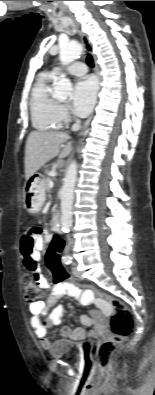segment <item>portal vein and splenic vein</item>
Returning a JSON list of instances; mask_svg holds the SVG:
<instances>
[{"label":"portal vein and splenic vein","mask_w":155,"mask_h":395,"mask_svg":"<svg viewBox=\"0 0 155 395\" xmlns=\"http://www.w3.org/2000/svg\"><path fill=\"white\" fill-rule=\"evenodd\" d=\"M54 186V183L52 181H49V187L52 188Z\"/></svg>","instance_id":"1"}]
</instances>
